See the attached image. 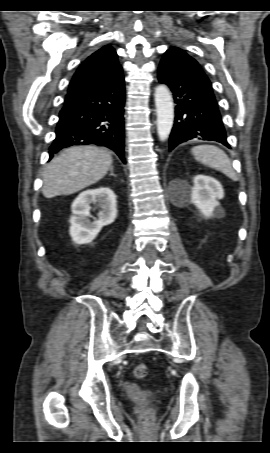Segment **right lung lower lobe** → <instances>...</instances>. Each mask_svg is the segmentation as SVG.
Instances as JSON below:
<instances>
[{
	"label": "right lung lower lobe",
	"mask_w": 270,
	"mask_h": 453,
	"mask_svg": "<svg viewBox=\"0 0 270 453\" xmlns=\"http://www.w3.org/2000/svg\"><path fill=\"white\" fill-rule=\"evenodd\" d=\"M124 103L122 71L102 86L68 93L49 148L50 159L63 148L95 144L112 149L125 162Z\"/></svg>",
	"instance_id": "98d812e1"
}]
</instances>
